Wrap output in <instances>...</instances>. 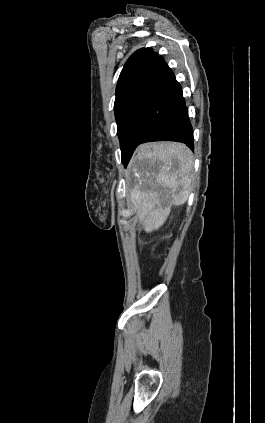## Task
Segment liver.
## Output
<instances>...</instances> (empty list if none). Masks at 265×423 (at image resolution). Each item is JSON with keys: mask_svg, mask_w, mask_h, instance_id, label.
Instances as JSON below:
<instances>
[{"mask_svg": "<svg viewBox=\"0 0 265 423\" xmlns=\"http://www.w3.org/2000/svg\"><path fill=\"white\" fill-rule=\"evenodd\" d=\"M129 167L140 174V184L131 191L132 207L139 223L150 233L164 224L172 205L180 206L187 201L193 154L182 143H146L137 148ZM157 186L170 190L166 199L160 197Z\"/></svg>", "mask_w": 265, "mask_h": 423, "instance_id": "obj_1", "label": "liver"}]
</instances>
